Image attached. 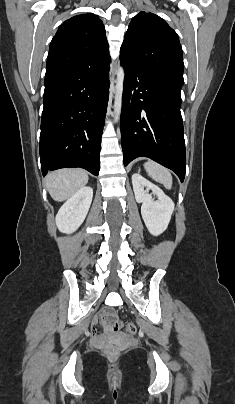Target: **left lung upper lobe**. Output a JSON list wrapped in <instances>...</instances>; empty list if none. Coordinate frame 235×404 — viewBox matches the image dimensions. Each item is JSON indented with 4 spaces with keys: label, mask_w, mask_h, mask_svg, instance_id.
<instances>
[{
    "label": "left lung upper lobe",
    "mask_w": 235,
    "mask_h": 404,
    "mask_svg": "<svg viewBox=\"0 0 235 404\" xmlns=\"http://www.w3.org/2000/svg\"><path fill=\"white\" fill-rule=\"evenodd\" d=\"M120 57L148 72L184 83L183 51L178 35L155 14L140 12L132 18Z\"/></svg>",
    "instance_id": "1"
}]
</instances>
